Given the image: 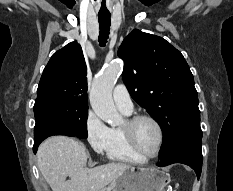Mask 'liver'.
Returning a JSON list of instances; mask_svg holds the SVG:
<instances>
[{"label": "liver", "instance_id": "obj_1", "mask_svg": "<svg viewBox=\"0 0 233 191\" xmlns=\"http://www.w3.org/2000/svg\"><path fill=\"white\" fill-rule=\"evenodd\" d=\"M87 159L84 144L67 136H52L37 151L39 171L52 191H101L131 167L112 162L87 168Z\"/></svg>", "mask_w": 233, "mask_h": 191}]
</instances>
